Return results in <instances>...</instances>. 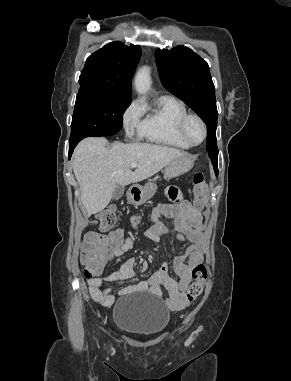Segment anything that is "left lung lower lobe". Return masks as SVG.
Segmentation results:
<instances>
[{"mask_svg": "<svg viewBox=\"0 0 291 381\" xmlns=\"http://www.w3.org/2000/svg\"><path fill=\"white\" fill-rule=\"evenodd\" d=\"M213 166H214V171H215L216 175H218V168H217V164H213Z\"/></svg>", "mask_w": 291, "mask_h": 381, "instance_id": "left-lung-lower-lobe-1", "label": "left lung lower lobe"}]
</instances>
